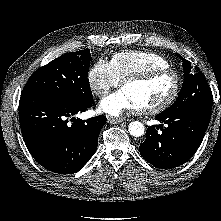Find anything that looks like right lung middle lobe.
I'll return each instance as SVG.
<instances>
[{
    "mask_svg": "<svg viewBox=\"0 0 221 221\" xmlns=\"http://www.w3.org/2000/svg\"><path fill=\"white\" fill-rule=\"evenodd\" d=\"M91 54L89 50L66 53L37 69L27 81L21 96L48 94L78 103L93 100L87 78Z\"/></svg>",
    "mask_w": 221,
    "mask_h": 221,
    "instance_id": "1",
    "label": "right lung middle lobe"
}]
</instances>
